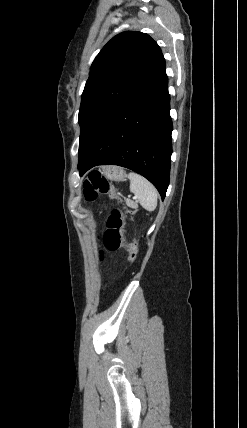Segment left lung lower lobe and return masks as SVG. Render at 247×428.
Instances as JSON below:
<instances>
[{
  "mask_svg": "<svg viewBox=\"0 0 247 428\" xmlns=\"http://www.w3.org/2000/svg\"><path fill=\"white\" fill-rule=\"evenodd\" d=\"M165 68L127 99L107 121L84 161L80 176L97 165H119L147 178L164 200L169 185L172 120Z\"/></svg>",
  "mask_w": 247,
  "mask_h": 428,
  "instance_id": "0a47b994",
  "label": "left lung lower lobe"
}]
</instances>
